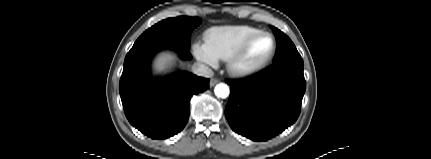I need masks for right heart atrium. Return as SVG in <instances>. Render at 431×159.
Segmentation results:
<instances>
[{
  "label": "right heart atrium",
  "mask_w": 431,
  "mask_h": 159,
  "mask_svg": "<svg viewBox=\"0 0 431 159\" xmlns=\"http://www.w3.org/2000/svg\"><path fill=\"white\" fill-rule=\"evenodd\" d=\"M192 49L194 56L201 63L210 67H214L218 64V58L212 53L206 43L197 41L193 44Z\"/></svg>",
  "instance_id": "right-heart-atrium-1"
}]
</instances>
